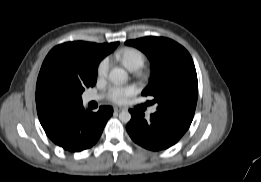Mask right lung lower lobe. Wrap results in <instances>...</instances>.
<instances>
[{"mask_svg":"<svg viewBox=\"0 0 261 182\" xmlns=\"http://www.w3.org/2000/svg\"><path fill=\"white\" fill-rule=\"evenodd\" d=\"M112 114L113 108L110 106H101L97 113H93L85 110L82 103H77L61 111L43 129L58 146L78 152L98 141Z\"/></svg>","mask_w":261,"mask_h":182,"instance_id":"right-lung-lower-lobe-1","label":"right lung lower lobe"}]
</instances>
